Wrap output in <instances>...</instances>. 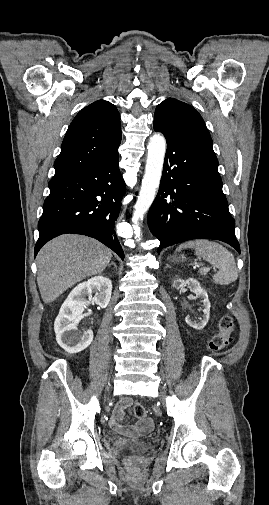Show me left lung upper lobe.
<instances>
[{"label":"left lung upper lobe","instance_id":"5c2ea615","mask_svg":"<svg viewBox=\"0 0 269 505\" xmlns=\"http://www.w3.org/2000/svg\"><path fill=\"white\" fill-rule=\"evenodd\" d=\"M154 119L166 124L195 127L209 134L197 110L174 98H168L157 106Z\"/></svg>","mask_w":269,"mask_h":505}]
</instances>
